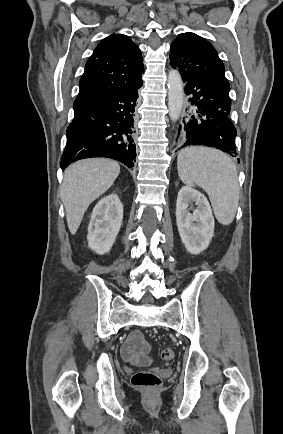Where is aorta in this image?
<instances>
[{"mask_svg": "<svg viewBox=\"0 0 283 434\" xmlns=\"http://www.w3.org/2000/svg\"><path fill=\"white\" fill-rule=\"evenodd\" d=\"M184 101L183 82L180 73L171 69L168 74V107L169 116L176 121L182 111Z\"/></svg>", "mask_w": 283, "mask_h": 434, "instance_id": "obj_1", "label": "aorta"}]
</instances>
